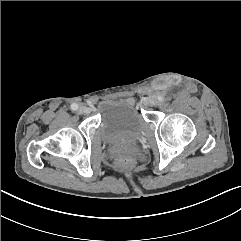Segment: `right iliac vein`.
Masks as SVG:
<instances>
[{
	"label": "right iliac vein",
	"mask_w": 241,
	"mask_h": 241,
	"mask_svg": "<svg viewBox=\"0 0 241 241\" xmlns=\"http://www.w3.org/2000/svg\"><path fill=\"white\" fill-rule=\"evenodd\" d=\"M78 112L81 114H89L90 113V108L86 106H80L78 109Z\"/></svg>",
	"instance_id": "right-iliac-vein-1"
}]
</instances>
